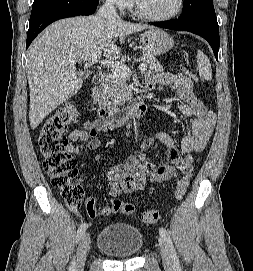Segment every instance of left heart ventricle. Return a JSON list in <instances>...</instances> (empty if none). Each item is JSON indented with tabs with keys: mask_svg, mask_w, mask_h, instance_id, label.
Instances as JSON below:
<instances>
[{
	"mask_svg": "<svg viewBox=\"0 0 253 271\" xmlns=\"http://www.w3.org/2000/svg\"><path fill=\"white\" fill-rule=\"evenodd\" d=\"M145 12L155 16H163L173 12L177 0H140Z\"/></svg>",
	"mask_w": 253,
	"mask_h": 271,
	"instance_id": "obj_1",
	"label": "left heart ventricle"
}]
</instances>
